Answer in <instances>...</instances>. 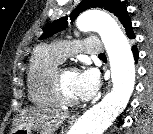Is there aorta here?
<instances>
[{
    "label": "aorta",
    "instance_id": "762f6f07",
    "mask_svg": "<svg viewBox=\"0 0 153 134\" xmlns=\"http://www.w3.org/2000/svg\"><path fill=\"white\" fill-rule=\"evenodd\" d=\"M80 31H96L107 51L112 90L102 101L87 110L74 124L72 134H103L126 107L135 84V64L131 46L122 30L109 15L88 10L77 19Z\"/></svg>",
    "mask_w": 153,
    "mask_h": 134
}]
</instances>
